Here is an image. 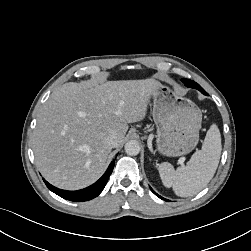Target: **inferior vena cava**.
<instances>
[{
    "mask_svg": "<svg viewBox=\"0 0 251 251\" xmlns=\"http://www.w3.org/2000/svg\"><path fill=\"white\" fill-rule=\"evenodd\" d=\"M105 143L111 148H115L117 146V136L115 134H111L105 138Z\"/></svg>",
    "mask_w": 251,
    "mask_h": 251,
    "instance_id": "602c4592",
    "label": "inferior vena cava"
}]
</instances>
